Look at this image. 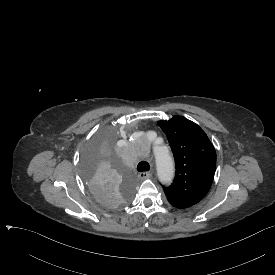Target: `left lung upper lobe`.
Here are the masks:
<instances>
[{
    "mask_svg": "<svg viewBox=\"0 0 275 275\" xmlns=\"http://www.w3.org/2000/svg\"><path fill=\"white\" fill-rule=\"evenodd\" d=\"M172 149L176 172L164 187L169 203L179 209L191 207L208 193L216 169V152L205 132L192 121L174 116L158 121Z\"/></svg>",
    "mask_w": 275,
    "mask_h": 275,
    "instance_id": "left-lung-upper-lobe-1",
    "label": "left lung upper lobe"
}]
</instances>
